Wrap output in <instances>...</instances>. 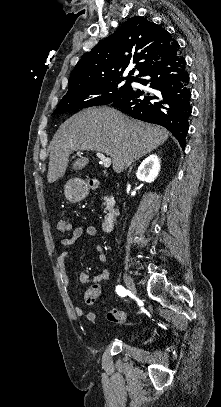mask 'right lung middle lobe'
Returning a JSON list of instances; mask_svg holds the SVG:
<instances>
[{
  "label": "right lung middle lobe",
  "mask_w": 221,
  "mask_h": 407,
  "mask_svg": "<svg viewBox=\"0 0 221 407\" xmlns=\"http://www.w3.org/2000/svg\"><path fill=\"white\" fill-rule=\"evenodd\" d=\"M132 81L105 82L67 92L53 114H61L91 106L107 105L129 93Z\"/></svg>",
  "instance_id": "1"
}]
</instances>
